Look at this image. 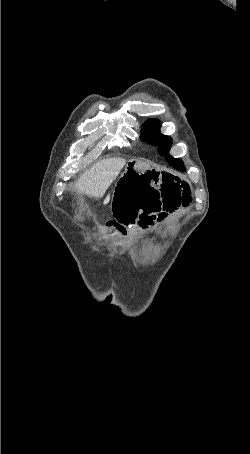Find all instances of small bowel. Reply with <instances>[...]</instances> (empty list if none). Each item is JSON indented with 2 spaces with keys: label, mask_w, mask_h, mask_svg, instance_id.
Masks as SVG:
<instances>
[{
  "label": "small bowel",
  "mask_w": 250,
  "mask_h": 454,
  "mask_svg": "<svg viewBox=\"0 0 250 454\" xmlns=\"http://www.w3.org/2000/svg\"><path fill=\"white\" fill-rule=\"evenodd\" d=\"M190 201V187L179 178L151 171H128L114 187L112 207L115 218L111 226L123 235L130 225L146 229L187 206Z\"/></svg>",
  "instance_id": "obj_1"
}]
</instances>
